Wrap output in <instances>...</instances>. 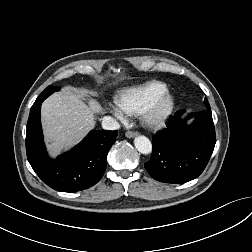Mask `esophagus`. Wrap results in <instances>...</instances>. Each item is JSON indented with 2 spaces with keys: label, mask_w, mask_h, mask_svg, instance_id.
<instances>
[{
  "label": "esophagus",
  "mask_w": 252,
  "mask_h": 252,
  "mask_svg": "<svg viewBox=\"0 0 252 252\" xmlns=\"http://www.w3.org/2000/svg\"><path fill=\"white\" fill-rule=\"evenodd\" d=\"M138 135V132H135V131H127L126 133H125V136L127 137V138H133V137H135V136H137Z\"/></svg>",
  "instance_id": "1"
}]
</instances>
